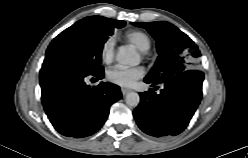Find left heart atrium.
I'll use <instances>...</instances> for the list:
<instances>
[{"instance_id": "39dd6f15", "label": "left heart atrium", "mask_w": 248, "mask_h": 158, "mask_svg": "<svg viewBox=\"0 0 248 158\" xmlns=\"http://www.w3.org/2000/svg\"><path fill=\"white\" fill-rule=\"evenodd\" d=\"M143 75L144 70L142 67H123L116 65L108 69L106 77L114 85L128 87Z\"/></svg>"}]
</instances>
